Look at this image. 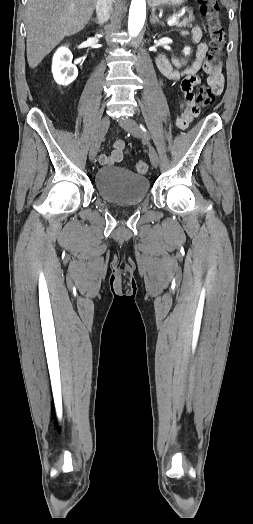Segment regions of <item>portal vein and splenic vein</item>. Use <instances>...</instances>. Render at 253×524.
<instances>
[{"instance_id":"obj_1","label":"portal vein and splenic vein","mask_w":253,"mask_h":524,"mask_svg":"<svg viewBox=\"0 0 253 524\" xmlns=\"http://www.w3.org/2000/svg\"><path fill=\"white\" fill-rule=\"evenodd\" d=\"M177 22H178V18H177V17H172V18H170V19L167 21V24H168L169 26H173V25H175Z\"/></svg>"}]
</instances>
